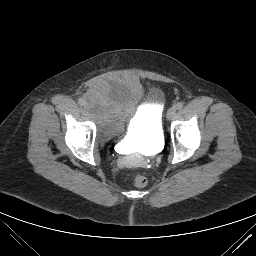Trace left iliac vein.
I'll return each instance as SVG.
<instances>
[{
  "label": "left iliac vein",
  "instance_id": "4c4485c4",
  "mask_svg": "<svg viewBox=\"0 0 256 256\" xmlns=\"http://www.w3.org/2000/svg\"><path fill=\"white\" fill-rule=\"evenodd\" d=\"M175 113H176V108L175 107L169 108L168 111H167V114H166L167 119L173 118Z\"/></svg>",
  "mask_w": 256,
  "mask_h": 256
}]
</instances>
